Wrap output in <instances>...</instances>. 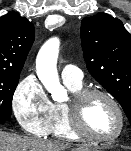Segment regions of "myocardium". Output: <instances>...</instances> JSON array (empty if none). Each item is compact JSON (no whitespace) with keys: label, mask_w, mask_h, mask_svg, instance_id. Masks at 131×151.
Masks as SVG:
<instances>
[{"label":"myocardium","mask_w":131,"mask_h":151,"mask_svg":"<svg viewBox=\"0 0 131 151\" xmlns=\"http://www.w3.org/2000/svg\"><path fill=\"white\" fill-rule=\"evenodd\" d=\"M103 97L108 100L115 108L119 117V127L117 132L110 137H101L91 133L85 124V111L87 103L93 97ZM68 111L69 122L72 130L80 138L91 140L99 143H112L122 135L125 129V114L119 101L108 91L99 88H82L81 90L73 93L70 100L66 103Z\"/></svg>","instance_id":"f54148a6"}]
</instances>
